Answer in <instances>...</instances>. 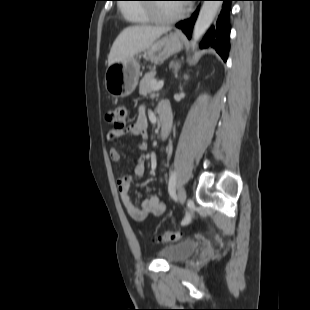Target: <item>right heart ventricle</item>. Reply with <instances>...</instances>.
Instances as JSON below:
<instances>
[{
    "instance_id": "obj_1",
    "label": "right heart ventricle",
    "mask_w": 310,
    "mask_h": 310,
    "mask_svg": "<svg viewBox=\"0 0 310 310\" xmlns=\"http://www.w3.org/2000/svg\"><path fill=\"white\" fill-rule=\"evenodd\" d=\"M121 11L130 22L137 25L147 24L152 20L148 10L142 6L123 5Z\"/></svg>"
}]
</instances>
